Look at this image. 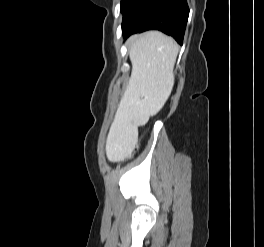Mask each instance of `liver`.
<instances>
[{"instance_id": "6515ba94", "label": "liver", "mask_w": 264, "mask_h": 247, "mask_svg": "<svg viewBox=\"0 0 264 247\" xmlns=\"http://www.w3.org/2000/svg\"><path fill=\"white\" fill-rule=\"evenodd\" d=\"M178 51L175 41L159 31L130 38L132 72L107 136L109 161H119L132 153L138 142V127L166 103L174 85Z\"/></svg>"}]
</instances>
